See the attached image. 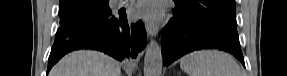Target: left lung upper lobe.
<instances>
[{
    "instance_id": "1",
    "label": "left lung upper lobe",
    "mask_w": 287,
    "mask_h": 76,
    "mask_svg": "<svg viewBox=\"0 0 287 76\" xmlns=\"http://www.w3.org/2000/svg\"><path fill=\"white\" fill-rule=\"evenodd\" d=\"M175 6L192 11L236 31L235 0H173Z\"/></svg>"
}]
</instances>
